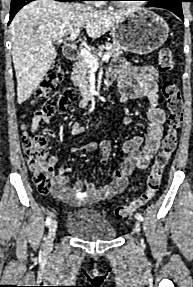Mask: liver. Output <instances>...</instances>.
Here are the masks:
<instances>
[{
    "mask_svg": "<svg viewBox=\"0 0 193 287\" xmlns=\"http://www.w3.org/2000/svg\"><path fill=\"white\" fill-rule=\"evenodd\" d=\"M132 12L103 11L87 3L55 0H35L24 6L10 24L17 102L31 96L55 60L54 41L82 27L90 38H98Z\"/></svg>",
    "mask_w": 193,
    "mask_h": 287,
    "instance_id": "obj_1",
    "label": "liver"
}]
</instances>
